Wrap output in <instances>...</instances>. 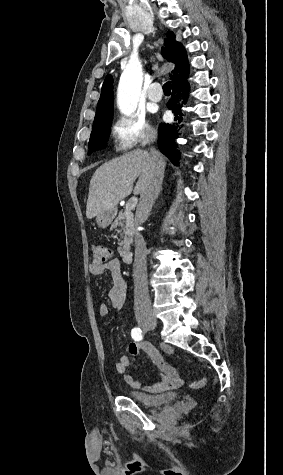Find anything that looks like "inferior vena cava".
I'll list each match as a JSON object with an SVG mask.
<instances>
[{
  "mask_svg": "<svg viewBox=\"0 0 283 475\" xmlns=\"http://www.w3.org/2000/svg\"><path fill=\"white\" fill-rule=\"evenodd\" d=\"M152 166L150 176L141 194L140 202L137 206L136 216L138 226H142L152 210L154 200H156L164 178V162L160 154L151 150ZM147 247L143 236L137 232L135 239V259L133 265L134 277V309L135 313L151 311V301L149 297L148 279H147Z\"/></svg>",
  "mask_w": 283,
  "mask_h": 475,
  "instance_id": "602c4592",
  "label": "inferior vena cava"
}]
</instances>
